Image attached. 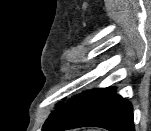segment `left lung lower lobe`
<instances>
[{"mask_svg":"<svg viewBox=\"0 0 151 131\" xmlns=\"http://www.w3.org/2000/svg\"><path fill=\"white\" fill-rule=\"evenodd\" d=\"M130 102L114 88L94 89L68 99L45 121L42 131L101 127L109 131H135Z\"/></svg>","mask_w":151,"mask_h":131,"instance_id":"left-lung-lower-lobe-1","label":"left lung lower lobe"}]
</instances>
